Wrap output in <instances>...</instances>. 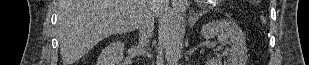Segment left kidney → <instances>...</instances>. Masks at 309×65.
<instances>
[{
	"label": "left kidney",
	"mask_w": 309,
	"mask_h": 65,
	"mask_svg": "<svg viewBox=\"0 0 309 65\" xmlns=\"http://www.w3.org/2000/svg\"><path fill=\"white\" fill-rule=\"evenodd\" d=\"M201 35L205 39L216 37L220 43H227L230 47L223 54L209 61L210 65H222V56L226 57L224 65H246L247 45L242 29L230 20L208 22L201 28Z\"/></svg>",
	"instance_id": "5707ae66"
}]
</instances>
